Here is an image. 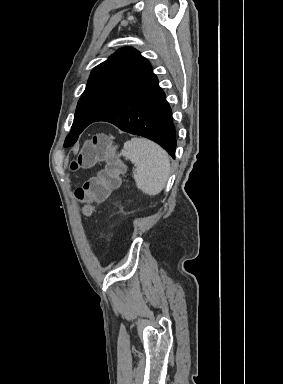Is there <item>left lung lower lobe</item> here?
Wrapping results in <instances>:
<instances>
[{
  "label": "left lung lower lobe",
  "instance_id": "left-lung-lower-lobe-1",
  "mask_svg": "<svg viewBox=\"0 0 283 384\" xmlns=\"http://www.w3.org/2000/svg\"><path fill=\"white\" fill-rule=\"evenodd\" d=\"M96 121H107L123 131L149 138L175 158L176 132L172 111L154 74L91 123Z\"/></svg>",
  "mask_w": 283,
  "mask_h": 384
}]
</instances>
